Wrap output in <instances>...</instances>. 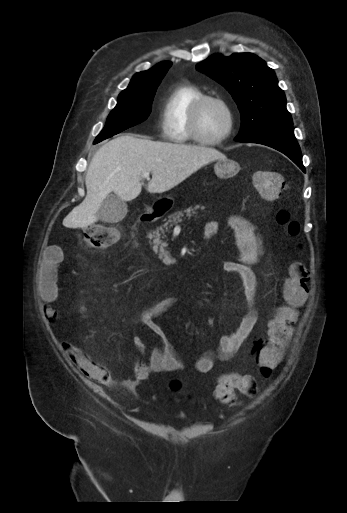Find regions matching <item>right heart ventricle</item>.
<instances>
[{
	"label": "right heart ventricle",
	"instance_id": "right-heart-ventricle-1",
	"mask_svg": "<svg viewBox=\"0 0 347 513\" xmlns=\"http://www.w3.org/2000/svg\"><path fill=\"white\" fill-rule=\"evenodd\" d=\"M204 92L190 82L174 86L166 96L161 115L163 136L177 144H189L192 139L188 123L191 108Z\"/></svg>",
	"mask_w": 347,
	"mask_h": 513
}]
</instances>
